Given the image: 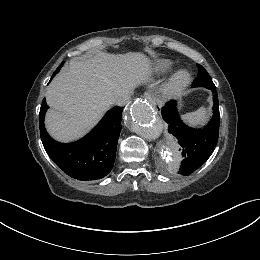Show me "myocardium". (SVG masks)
<instances>
[{
    "label": "myocardium",
    "instance_id": "myocardium-1",
    "mask_svg": "<svg viewBox=\"0 0 260 260\" xmlns=\"http://www.w3.org/2000/svg\"><path fill=\"white\" fill-rule=\"evenodd\" d=\"M192 76L186 68L175 70L167 80L164 91L167 94H176L183 91L191 82Z\"/></svg>",
    "mask_w": 260,
    "mask_h": 260
}]
</instances>
